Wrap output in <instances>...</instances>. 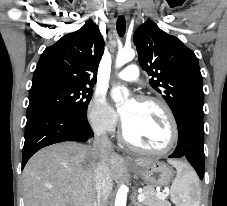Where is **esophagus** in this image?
Here are the masks:
<instances>
[{
    "instance_id": "esophagus-1",
    "label": "esophagus",
    "mask_w": 227,
    "mask_h": 206,
    "mask_svg": "<svg viewBox=\"0 0 227 206\" xmlns=\"http://www.w3.org/2000/svg\"><path fill=\"white\" fill-rule=\"evenodd\" d=\"M125 13H126V7H125V5H121L119 7V14L124 15ZM126 160H128V158H126Z\"/></svg>"
}]
</instances>
